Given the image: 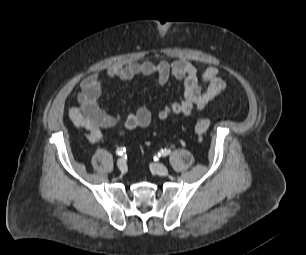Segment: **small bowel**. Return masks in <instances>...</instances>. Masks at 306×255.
I'll list each match as a JSON object with an SVG mask.
<instances>
[{"mask_svg":"<svg viewBox=\"0 0 306 255\" xmlns=\"http://www.w3.org/2000/svg\"><path fill=\"white\" fill-rule=\"evenodd\" d=\"M156 76L159 85H166L174 78L182 82V98L162 108L157 118L167 120L172 115L189 116L193 109L203 110L215 98L226 91V82L215 66L206 68L199 76L196 67L187 60L133 62L127 65L114 64L106 71V77L129 81L135 76ZM104 76L93 73L80 84L77 104L69 107L70 120L79 128L87 131V140L97 142L105 130L113 129L119 122L117 115L105 112L100 106ZM125 119L123 127L116 135L124 137L128 133L146 128L152 122V114L145 106L135 110L123 106Z\"/></svg>","mask_w":306,"mask_h":255,"instance_id":"1","label":"small bowel"}]
</instances>
